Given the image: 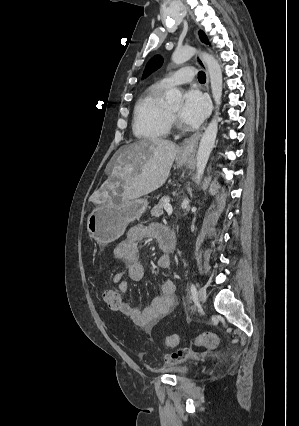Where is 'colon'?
I'll return each instance as SVG.
<instances>
[{"mask_svg": "<svg viewBox=\"0 0 299 426\" xmlns=\"http://www.w3.org/2000/svg\"><path fill=\"white\" fill-rule=\"evenodd\" d=\"M102 299L106 305L113 311L120 312L124 303V293L121 289L116 287H108L102 291ZM218 337L213 333H203L195 341L196 346L205 348H214L218 345ZM163 343L168 347H175L179 343L177 335H168L164 338ZM189 352L188 350H183Z\"/></svg>", "mask_w": 299, "mask_h": 426, "instance_id": "colon-1", "label": "colon"}]
</instances>
